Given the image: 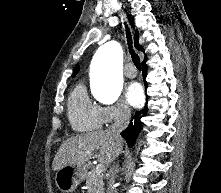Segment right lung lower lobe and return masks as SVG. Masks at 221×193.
<instances>
[{
    "mask_svg": "<svg viewBox=\"0 0 221 193\" xmlns=\"http://www.w3.org/2000/svg\"><path fill=\"white\" fill-rule=\"evenodd\" d=\"M147 66L145 62L142 63V72L143 78L146 77ZM147 87V84L145 83ZM147 114V106H145L142 110L137 111L129 123V126L121 132V136L126 140L129 146H132L134 143L139 131L142 128L141 118L146 116Z\"/></svg>",
    "mask_w": 221,
    "mask_h": 193,
    "instance_id": "98d812e1",
    "label": "right lung lower lobe"
}]
</instances>
